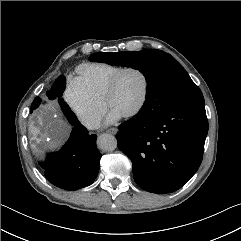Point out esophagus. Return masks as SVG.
<instances>
[{
    "label": "esophagus",
    "instance_id": "esophagus-1",
    "mask_svg": "<svg viewBox=\"0 0 241 241\" xmlns=\"http://www.w3.org/2000/svg\"><path fill=\"white\" fill-rule=\"evenodd\" d=\"M107 132L110 133V134H115L117 132V129L111 128V129L107 130Z\"/></svg>",
    "mask_w": 241,
    "mask_h": 241
}]
</instances>
